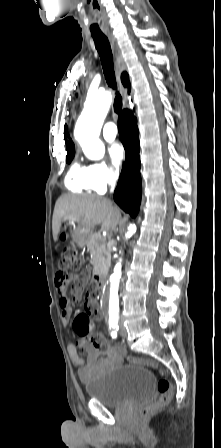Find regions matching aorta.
<instances>
[{
    "label": "aorta",
    "instance_id": "obj_1",
    "mask_svg": "<svg viewBox=\"0 0 221 448\" xmlns=\"http://www.w3.org/2000/svg\"><path fill=\"white\" fill-rule=\"evenodd\" d=\"M112 96L108 91L98 92L87 97L83 111L79 116L74 130L75 139L79 142L84 154L92 160L104 157L105 146L99 140L103 121L109 111ZM135 225H130L126 237L135 231ZM121 279V262H119L110 278V286L106 294L109 297V312L118 313V290Z\"/></svg>",
    "mask_w": 221,
    "mask_h": 448
}]
</instances>
